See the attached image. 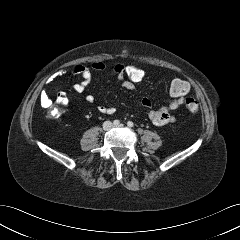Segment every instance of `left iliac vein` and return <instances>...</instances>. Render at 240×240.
Returning a JSON list of instances; mask_svg holds the SVG:
<instances>
[{
  "instance_id": "4c4485c4",
  "label": "left iliac vein",
  "mask_w": 240,
  "mask_h": 240,
  "mask_svg": "<svg viewBox=\"0 0 240 240\" xmlns=\"http://www.w3.org/2000/svg\"><path fill=\"white\" fill-rule=\"evenodd\" d=\"M117 127V126H116ZM118 127H123V124H120Z\"/></svg>"
}]
</instances>
